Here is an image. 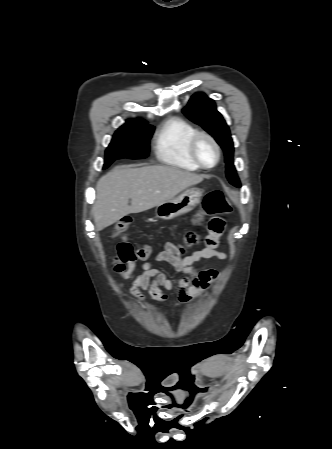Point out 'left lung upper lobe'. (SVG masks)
I'll return each instance as SVG.
<instances>
[{"label": "left lung upper lobe", "mask_w": 332, "mask_h": 449, "mask_svg": "<svg viewBox=\"0 0 332 449\" xmlns=\"http://www.w3.org/2000/svg\"><path fill=\"white\" fill-rule=\"evenodd\" d=\"M183 112L191 121L202 126L222 147L225 154L227 178L232 185L240 187L233 164L234 147L230 131L222 115L216 110L214 101L203 93L194 94Z\"/></svg>", "instance_id": "5c2ea615"}]
</instances>
